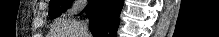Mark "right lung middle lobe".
Listing matches in <instances>:
<instances>
[{
  "instance_id": "1",
  "label": "right lung middle lobe",
  "mask_w": 219,
  "mask_h": 37,
  "mask_svg": "<svg viewBox=\"0 0 219 37\" xmlns=\"http://www.w3.org/2000/svg\"><path fill=\"white\" fill-rule=\"evenodd\" d=\"M69 0H53L50 1L49 5V15L53 18L60 16L66 11Z\"/></svg>"
}]
</instances>
